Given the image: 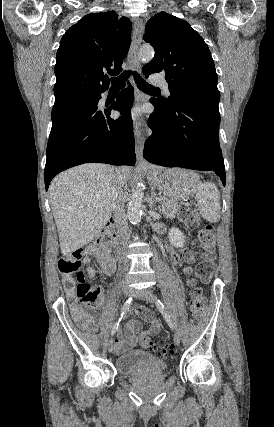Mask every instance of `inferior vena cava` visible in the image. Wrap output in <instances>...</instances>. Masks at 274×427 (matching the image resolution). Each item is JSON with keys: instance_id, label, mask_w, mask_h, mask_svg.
Wrapping results in <instances>:
<instances>
[{"instance_id": "inferior-vena-cava-1", "label": "inferior vena cava", "mask_w": 274, "mask_h": 427, "mask_svg": "<svg viewBox=\"0 0 274 427\" xmlns=\"http://www.w3.org/2000/svg\"><path fill=\"white\" fill-rule=\"evenodd\" d=\"M125 182H119L116 190L113 192L111 198L112 210L115 219V225L120 237V243L126 247L129 243V227L127 221V215L125 214V194L122 190Z\"/></svg>"}]
</instances>
